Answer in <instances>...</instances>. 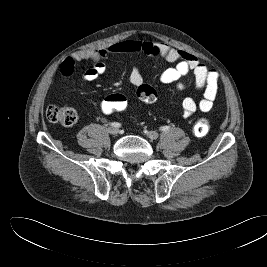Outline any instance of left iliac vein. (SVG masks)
<instances>
[{
	"label": "left iliac vein",
	"instance_id": "1",
	"mask_svg": "<svg viewBox=\"0 0 267 267\" xmlns=\"http://www.w3.org/2000/svg\"><path fill=\"white\" fill-rule=\"evenodd\" d=\"M145 135L152 140H155L159 137V134L156 131H146Z\"/></svg>",
	"mask_w": 267,
	"mask_h": 267
}]
</instances>
